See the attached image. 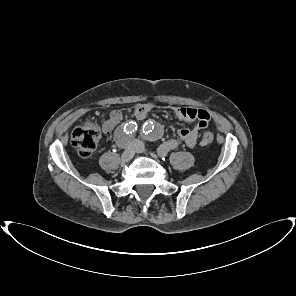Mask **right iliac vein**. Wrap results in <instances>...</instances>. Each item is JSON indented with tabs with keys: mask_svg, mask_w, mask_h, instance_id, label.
<instances>
[{
	"mask_svg": "<svg viewBox=\"0 0 296 296\" xmlns=\"http://www.w3.org/2000/svg\"><path fill=\"white\" fill-rule=\"evenodd\" d=\"M133 157H134V145H133V143H130V141H129L125 151L121 155V160L123 162H128Z\"/></svg>",
	"mask_w": 296,
	"mask_h": 296,
	"instance_id": "1",
	"label": "right iliac vein"
}]
</instances>
